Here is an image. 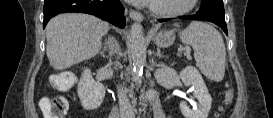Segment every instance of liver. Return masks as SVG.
<instances>
[{
	"instance_id": "obj_1",
	"label": "liver",
	"mask_w": 273,
	"mask_h": 118,
	"mask_svg": "<svg viewBox=\"0 0 273 118\" xmlns=\"http://www.w3.org/2000/svg\"><path fill=\"white\" fill-rule=\"evenodd\" d=\"M109 24L95 16L60 14L46 26V54L55 70H65L97 55Z\"/></svg>"
}]
</instances>
